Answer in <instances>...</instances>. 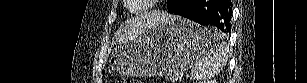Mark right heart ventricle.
<instances>
[{"mask_svg":"<svg viewBox=\"0 0 307 83\" xmlns=\"http://www.w3.org/2000/svg\"><path fill=\"white\" fill-rule=\"evenodd\" d=\"M142 7H143V9H146V8H147V5H143Z\"/></svg>","mask_w":307,"mask_h":83,"instance_id":"obj_1","label":"right heart ventricle"}]
</instances>
